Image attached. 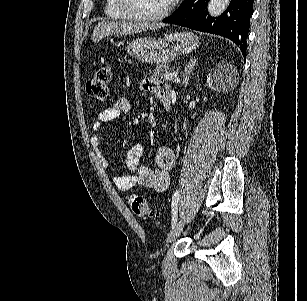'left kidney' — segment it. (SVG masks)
Segmentation results:
<instances>
[{"mask_svg": "<svg viewBox=\"0 0 307 301\" xmlns=\"http://www.w3.org/2000/svg\"><path fill=\"white\" fill-rule=\"evenodd\" d=\"M236 74V66H233V64H216L214 68H211L205 86L212 88V90H216V88L218 90H229L230 86H233Z\"/></svg>", "mask_w": 307, "mask_h": 301, "instance_id": "obj_1", "label": "left kidney"}]
</instances>
